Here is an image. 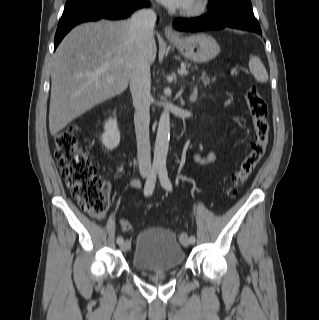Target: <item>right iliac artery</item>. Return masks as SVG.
Here are the masks:
<instances>
[{"instance_id": "82829eb1", "label": "right iliac artery", "mask_w": 319, "mask_h": 320, "mask_svg": "<svg viewBox=\"0 0 319 320\" xmlns=\"http://www.w3.org/2000/svg\"><path fill=\"white\" fill-rule=\"evenodd\" d=\"M157 171H158V168H156V167H153L151 169L150 175L148 176V179H147L145 187H144V195L145 196H150L154 190ZM123 241H124V239L122 236H118L116 239L117 244H121Z\"/></svg>"}]
</instances>
